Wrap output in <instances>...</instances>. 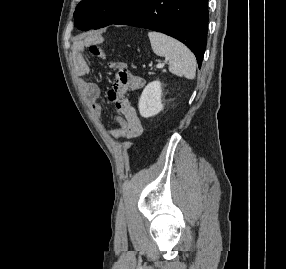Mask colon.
<instances>
[{"instance_id":"colon-1","label":"colon","mask_w":286,"mask_h":269,"mask_svg":"<svg viewBox=\"0 0 286 269\" xmlns=\"http://www.w3.org/2000/svg\"><path fill=\"white\" fill-rule=\"evenodd\" d=\"M92 46L96 49H101L99 45L93 43ZM129 61H118L115 66V88L119 89L120 93L125 91H140L142 83H145V78H135L129 69ZM131 105H127V110H140V105H136V100H131Z\"/></svg>"}]
</instances>
